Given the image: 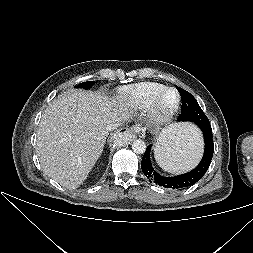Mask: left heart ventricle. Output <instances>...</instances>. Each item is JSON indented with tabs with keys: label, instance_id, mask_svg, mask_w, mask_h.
<instances>
[{
	"label": "left heart ventricle",
	"instance_id": "obj_1",
	"mask_svg": "<svg viewBox=\"0 0 253 253\" xmlns=\"http://www.w3.org/2000/svg\"><path fill=\"white\" fill-rule=\"evenodd\" d=\"M177 102V94L174 91H168L161 102V107L164 110L171 109Z\"/></svg>",
	"mask_w": 253,
	"mask_h": 253
}]
</instances>
